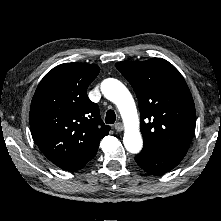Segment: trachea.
<instances>
[{"label": "trachea", "instance_id": "1", "mask_svg": "<svg viewBox=\"0 0 221 221\" xmlns=\"http://www.w3.org/2000/svg\"><path fill=\"white\" fill-rule=\"evenodd\" d=\"M116 120V114L113 110H108L106 113L105 122L107 124H113Z\"/></svg>", "mask_w": 221, "mask_h": 221}]
</instances>
